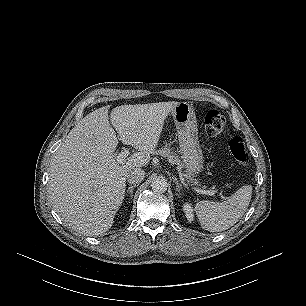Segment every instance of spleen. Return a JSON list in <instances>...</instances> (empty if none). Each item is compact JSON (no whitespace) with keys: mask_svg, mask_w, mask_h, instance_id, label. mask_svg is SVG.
<instances>
[{"mask_svg":"<svg viewBox=\"0 0 306 306\" xmlns=\"http://www.w3.org/2000/svg\"><path fill=\"white\" fill-rule=\"evenodd\" d=\"M252 196V186H242L222 202L200 201L195 212L201 227L210 232L227 230L247 211Z\"/></svg>","mask_w":306,"mask_h":306,"instance_id":"1","label":"spleen"}]
</instances>
